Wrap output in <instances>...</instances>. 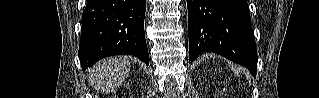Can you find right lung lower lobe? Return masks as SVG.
Listing matches in <instances>:
<instances>
[{"mask_svg":"<svg viewBox=\"0 0 319 98\" xmlns=\"http://www.w3.org/2000/svg\"><path fill=\"white\" fill-rule=\"evenodd\" d=\"M145 11L146 0H87L79 47L83 70L113 55H135L149 65Z\"/></svg>","mask_w":319,"mask_h":98,"instance_id":"98d812e1","label":"right lung lower lobe"}]
</instances>
